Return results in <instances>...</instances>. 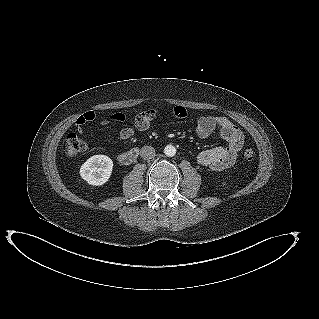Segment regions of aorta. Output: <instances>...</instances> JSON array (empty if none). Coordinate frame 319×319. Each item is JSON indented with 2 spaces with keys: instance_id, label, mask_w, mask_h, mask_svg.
<instances>
[{
  "instance_id": "1",
  "label": "aorta",
  "mask_w": 319,
  "mask_h": 319,
  "mask_svg": "<svg viewBox=\"0 0 319 319\" xmlns=\"http://www.w3.org/2000/svg\"><path fill=\"white\" fill-rule=\"evenodd\" d=\"M164 153L168 157H173L176 154V148L172 145H167L164 149Z\"/></svg>"
}]
</instances>
